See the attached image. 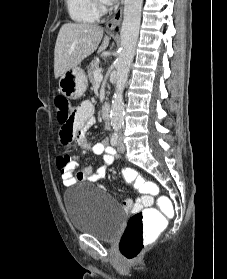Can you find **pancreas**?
<instances>
[{
	"label": "pancreas",
	"instance_id": "cf45deb5",
	"mask_svg": "<svg viewBox=\"0 0 227 279\" xmlns=\"http://www.w3.org/2000/svg\"><path fill=\"white\" fill-rule=\"evenodd\" d=\"M98 69H99V61L98 60L92 61L88 67V78L91 83L95 82L94 73Z\"/></svg>",
	"mask_w": 227,
	"mask_h": 279
}]
</instances>
